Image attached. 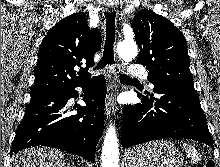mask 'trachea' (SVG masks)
<instances>
[{
    "mask_svg": "<svg viewBox=\"0 0 220 167\" xmlns=\"http://www.w3.org/2000/svg\"><path fill=\"white\" fill-rule=\"evenodd\" d=\"M115 12H105L106 19V40L104 45L103 56L101 60L98 62L96 70L103 69L105 66H113L114 65V54H113V45L115 41ZM117 71V69H116ZM121 83H133L137 82V79H132L126 77L122 74H117Z\"/></svg>",
    "mask_w": 220,
    "mask_h": 167,
    "instance_id": "3493384b",
    "label": "trachea"
}]
</instances>
